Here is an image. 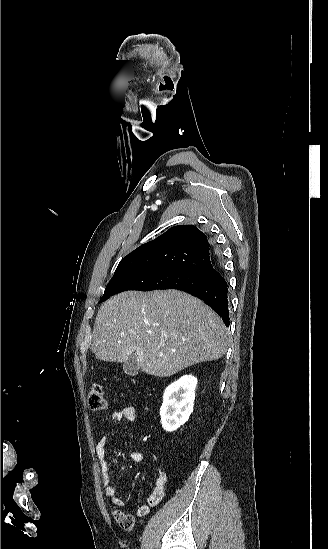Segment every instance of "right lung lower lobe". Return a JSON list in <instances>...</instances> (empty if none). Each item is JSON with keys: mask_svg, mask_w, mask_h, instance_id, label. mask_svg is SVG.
Segmentation results:
<instances>
[{"mask_svg": "<svg viewBox=\"0 0 328 549\" xmlns=\"http://www.w3.org/2000/svg\"><path fill=\"white\" fill-rule=\"evenodd\" d=\"M182 290L204 300L222 318L225 325L229 326L228 288L225 279L220 274L216 278Z\"/></svg>", "mask_w": 328, "mask_h": 549, "instance_id": "98d812e1", "label": "right lung lower lobe"}]
</instances>
